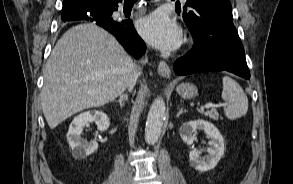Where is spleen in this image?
<instances>
[{"label":"spleen","instance_id":"1","mask_svg":"<svg viewBox=\"0 0 293 184\" xmlns=\"http://www.w3.org/2000/svg\"><path fill=\"white\" fill-rule=\"evenodd\" d=\"M222 99L226 102L225 116L235 120L246 115L248 111V98L242 87L231 77H223Z\"/></svg>","mask_w":293,"mask_h":184}]
</instances>
